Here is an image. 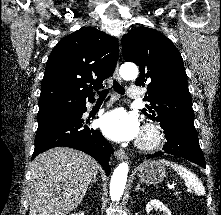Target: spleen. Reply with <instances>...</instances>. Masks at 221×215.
<instances>
[{"mask_svg":"<svg viewBox=\"0 0 221 215\" xmlns=\"http://www.w3.org/2000/svg\"><path fill=\"white\" fill-rule=\"evenodd\" d=\"M158 163L171 166L184 179L185 185L193 189L198 195L203 196L205 194V188L203 184L199 181L193 172L184 166L165 159L158 160Z\"/></svg>","mask_w":221,"mask_h":215,"instance_id":"obj_1","label":"spleen"}]
</instances>
